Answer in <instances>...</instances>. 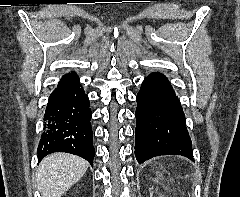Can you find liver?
<instances>
[{
    "label": "liver",
    "mask_w": 240,
    "mask_h": 197,
    "mask_svg": "<svg viewBox=\"0 0 240 197\" xmlns=\"http://www.w3.org/2000/svg\"><path fill=\"white\" fill-rule=\"evenodd\" d=\"M88 162L68 153L46 156L37 169V188L42 197H61L88 169Z\"/></svg>",
    "instance_id": "obj_1"
}]
</instances>
